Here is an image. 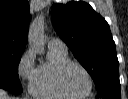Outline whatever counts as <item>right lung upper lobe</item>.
<instances>
[{
    "instance_id": "cb5924a9",
    "label": "right lung upper lobe",
    "mask_w": 128,
    "mask_h": 99,
    "mask_svg": "<svg viewBox=\"0 0 128 99\" xmlns=\"http://www.w3.org/2000/svg\"><path fill=\"white\" fill-rule=\"evenodd\" d=\"M29 11L28 1L0 0V50H25Z\"/></svg>"
}]
</instances>
